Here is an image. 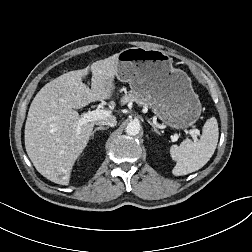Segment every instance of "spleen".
I'll list each match as a JSON object with an SVG mask.
<instances>
[{
  "instance_id": "1",
  "label": "spleen",
  "mask_w": 252,
  "mask_h": 252,
  "mask_svg": "<svg viewBox=\"0 0 252 252\" xmlns=\"http://www.w3.org/2000/svg\"><path fill=\"white\" fill-rule=\"evenodd\" d=\"M218 123L215 117L209 118L198 141L184 140L179 146L172 145L170 154L176 165L172 170L175 176L187 175L202 168L212 157L218 143Z\"/></svg>"
}]
</instances>
